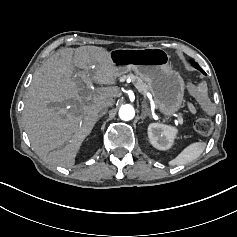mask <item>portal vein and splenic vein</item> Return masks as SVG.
<instances>
[{"label": "portal vein and splenic vein", "instance_id": "1", "mask_svg": "<svg viewBox=\"0 0 237 237\" xmlns=\"http://www.w3.org/2000/svg\"><path fill=\"white\" fill-rule=\"evenodd\" d=\"M177 119L179 120L178 121V124L181 126L183 124V118L180 116V115H177ZM182 127V126H181Z\"/></svg>", "mask_w": 237, "mask_h": 237}]
</instances>
